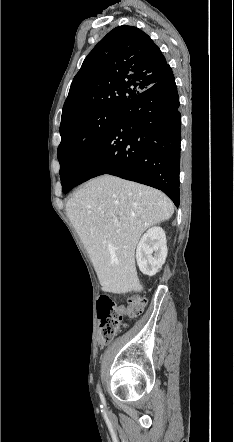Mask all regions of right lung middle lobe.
Masks as SVG:
<instances>
[{
    "mask_svg": "<svg viewBox=\"0 0 234 442\" xmlns=\"http://www.w3.org/2000/svg\"><path fill=\"white\" fill-rule=\"evenodd\" d=\"M120 110L121 107H112L92 112L73 121L60 132L58 160L63 192L71 185L74 164L107 135Z\"/></svg>",
    "mask_w": 234,
    "mask_h": 442,
    "instance_id": "right-lung-middle-lobe-1",
    "label": "right lung middle lobe"
}]
</instances>
